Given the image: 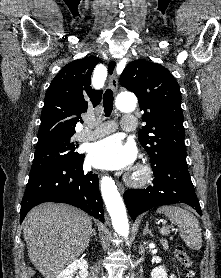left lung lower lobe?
<instances>
[{
  "label": "left lung lower lobe",
  "mask_w": 221,
  "mask_h": 278,
  "mask_svg": "<svg viewBox=\"0 0 221 278\" xmlns=\"http://www.w3.org/2000/svg\"><path fill=\"white\" fill-rule=\"evenodd\" d=\"M153 186L146 189H129L124 201L131 218L157 206L185 203L202 215L194 186L188 173L186 157H173L152 168Z\"/></svg>",
  "instance_id": "0a47b994"
}]
</instances>
